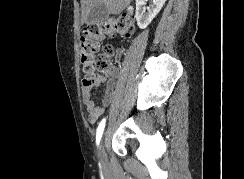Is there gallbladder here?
<instances>
[{"mask_svg":"<svg viewBox=\"0 0 244 179\" xmlns=\"http://www.w3.org/2000/svg\"><path fill=\"white\" fill-rule=\"evenodd\" d=\"M109 16V12L107 8H105L104 4H97L92 8L87 22L88 24H100V22H105Z\"/></svg>","mask_w":244,"mask_h":179,"instance_id":"bac80fb5","label":"gallbladder"}]
</instances>
